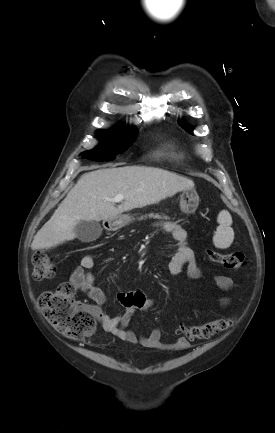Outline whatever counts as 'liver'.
<instances>
[{
  "mask_svg": "<svg viewBox=\"0 0 275 433\" xmlns=\"http://www.w3.org/2000/svg\"><path fill=\"white\" fill-rule=\"evenodd\" d=\"M194 182L170 171L146 166L98 169L81 176L52 217L34 236L32 250L50 249L76 237L81 221H105L123 212L155 204ZM123 195L117 207L109 199Z\"/></svg>",
  "mask_w": 275,
  "mask_h": 433,
  "instance_id": "obj_1",
  "label": "liver"
}]
</instances>
